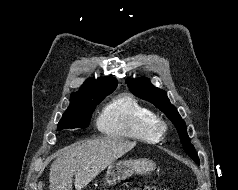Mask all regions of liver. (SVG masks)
I'll list each match as a JSON object with an SVG mask.
<instances>
[{"instance_id": "1", "label": "liver", "mask_w": 238, "mask_h": 190, "mask_svg": "<svg viewBox=\"0 0 238 190\" xmlns=\"http://www.w3.org/2000/svg\"><path fill=\"white\" fill-rule=\"evenodd\" d=\"M136 146L117 137H104L72 144L58 153L49 174V190H81L106 167Z\"/></svg>"}]
</instances>
